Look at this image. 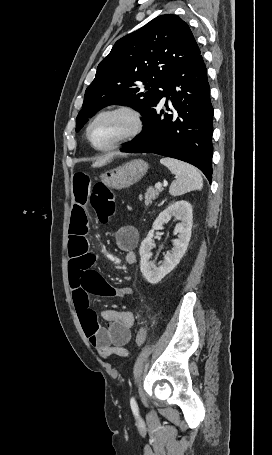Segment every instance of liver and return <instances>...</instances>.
<instances>
[{
	"label": "liver",
	"instance_id": "liver-1",
	"mask_svg": "<svg viewBox=\"0 0 272 455\" xmlns=\"http://www.w3.org/2000/svg\"><path fill=\"white\" fill-rule=\"evenodd\" d=\"M113 155L109 154V155H106L104 157H101L99 159H97L93 164H92V167H102L104 165H106L112 158Z\"/></svg>",
	"mask_w": 272,
	"mask_h": 455
}]
</instances>
